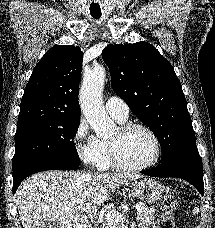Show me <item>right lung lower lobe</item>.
Masks as SVG:
<instances>
[{
    "instance_id": "98d812e1",
    "label": "right lung lower lobe",
    "mask_w": 215,
    "mask_h": 228,
    "mask_svg": "<svg viewBox=\"0 0 215 228\" xmlns=\"http://www.w3.org/2000/svg\"><path fill=\"white\" fill-rule=\"evenodd\" d=\"M78 168L79 164L54 160H40L19 165L13 168V194L29 175L46 170H76Z\"/></svg>"
}]
</instances>
